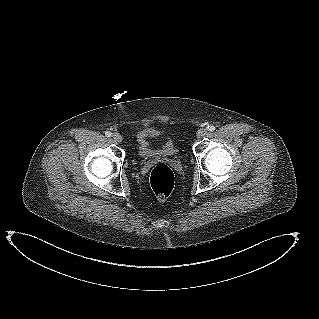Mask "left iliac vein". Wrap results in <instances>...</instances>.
I'll use <instances>...</instances> for the list:
<instances>
[{"instance_id":"4c4485c4","label":"left iliac vein","mask_w":319,"mask_h":319,"mask_svg":"<svg viewBox=\"0 0 319 319\" xmlns=\"http://www.w3.org/2000/svg\"><path fill=\"white\" fill-rule=\"evenodd\" d=\"M208 133V130L206 128H201L197 131V137L201 138L204 137Z\"/></svg>"}]
</instances>
